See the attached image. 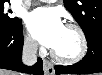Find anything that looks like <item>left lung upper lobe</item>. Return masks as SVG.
Segmentation results:
<instances>
[{"mask_svg": "<svg viewBox=\"0 0 102 75\" xmlns=\"http://www.w3.org/2000/svg\"><path fill=\"white\" fill-rule=\"evenodd\" d=\"M64 5L86 36L94 31H102L101 0H64Z\"/></svg>", "mask_w": 102, "mask_h": 75, "instance_id": "5c2ea615", "label": "left lung upper lobe"}]
</instances>
